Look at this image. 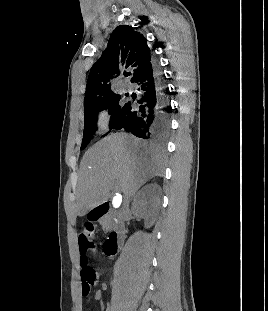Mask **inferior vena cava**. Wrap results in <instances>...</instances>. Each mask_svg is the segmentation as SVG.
<instances>
[{"instance_id":"1","label":"inferior vena cava","mask_w":268,"mask_h":311,"mask_svg":"<svg viewBox=\"0 0 268 311\" xmlns=\"http://www.w3.org/2000/svg\"><path fill=\"white\" fill-rule=\"evenodd\" d=\"M127 206H128V201L126 200V201H125V207H127Z\"/></svg>"}]
</instances>
